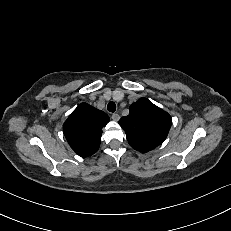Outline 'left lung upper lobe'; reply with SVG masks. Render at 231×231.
Listing matches in <instances>:
<instances>
[{
    "mask_svg": "<svg viewBox=\"0 0 231 231\" xmlns=\"http://www.w3.org/2000/svg\"><path fill=\"white\" fill-rule=\"evenodd\" d=\"M130 113L119 120L131 147L148 152L160 145L168 135L171 117L147 98H140L129 108Z\"/></svg>",
    "mask_w": 231,
    "mask_h": 231,
    "instance_id": "obj_1",
    "label": "left lung upper lobe"
}]
</instances>
